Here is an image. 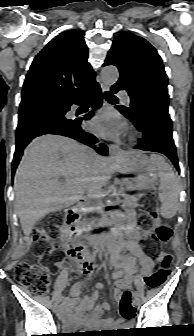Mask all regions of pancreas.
Masks as SVG:
<instances>
[{"instance_id":"1","label":"pancreas","mask_w":194,"mask_h":336,"mask_svg":"<svg viewBox=\"0 0 194 336\" xmlns=\"http://www.w3.org/2000/svg\"><path fill=\"white\" fill-rule=\"evenodd\" d=\"M126 191L121 194L122 199H124V205L122 209L125 211H134L136 209L137 199L139 195L145 194L146 190L143 185L139 183H129L126 186Z\"/></svg>"}]
</instances>
